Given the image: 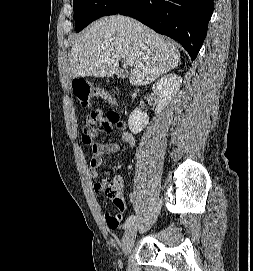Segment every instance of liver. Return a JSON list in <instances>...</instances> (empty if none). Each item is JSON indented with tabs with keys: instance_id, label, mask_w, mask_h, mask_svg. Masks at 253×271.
<instances>
[{
	"instance_id": "liver-1",
	"label": "liver",
	"mask_w": 253,
	"mask_h": 271,
	"mask_svg": "<svg viewBox=\"0 0 253 271\" xmlns=\"http://www.w3.org/2000/svg\"><path fill=\"white\" fill-rule=\"evenodd\" d=\"M133 62L131 85L143 86L176 68L180 52L149 27L122 15L98 19L74 41L69 78L110 77L121 59Z\"/></svg>"
}]
</instances>
